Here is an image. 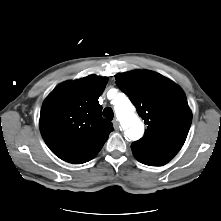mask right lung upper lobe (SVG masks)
Segmentation results:
<instances>
[{"label": "right lung upper lobe", "mask_w": 221, "mask_h": 221, "mask_svg": "<svg viewBox=\"0 0 221 221\" xmlns=\"http://www.w3.org/2000/svg\"><path fill=\"white\" fill-rule=\"evenodd\" d=\"M106 77L89 75L58 85L45 99L40 114L41 135L60 159L82 164L102 148L112 123L101 116L98 99Z\"/></svg>", "instance_id": "1"}]
</instances>
